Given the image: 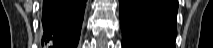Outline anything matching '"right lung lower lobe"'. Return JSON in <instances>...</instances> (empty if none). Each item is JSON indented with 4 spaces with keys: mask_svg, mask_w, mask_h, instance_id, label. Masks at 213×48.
I'll use <instances>...</instances> for the list:
<instances>
[{
    "mask_svg": "<svg viewBox=\"0 0 213 48\" xmlns=\"http://www.w3.org/2000/svg\"><path fill=\"white\" fill-rule=\"evenodd\" d=\"M86 0H44L43 41L50 48H76Z\"/></svg>",
    "mask_w": 213,
    "mask_h": 48,
    "instance_id": "98d812e1",
    "label": "right lung lower lobe"
}]
</instances>
